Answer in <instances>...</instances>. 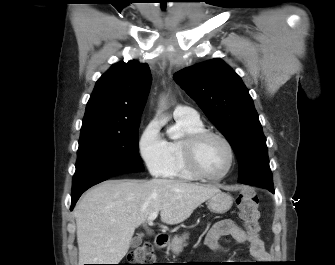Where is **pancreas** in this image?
Instances as JSON below:
<instances>
[{"label":"pancreas","mask_w":335,"mask_h":265,"mask_svg":"<svg viewBox=\"0 0 335 265\" xmlns=\"http://www.w3.org/2000/svg\"><path fill=\"white\" fill-rule=\"evenodd\" d=\"M188 236V233L183 234L181 237L175 236L168 246V251L171 250L174 254L178 255L182 252L183 247L187 245L186 239H188Z\"/></svg>","instance_id":"cf45deb5"}]
</instances>
